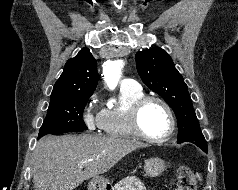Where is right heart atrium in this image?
I'll return each mask as SVG.
<instances>
[{
    "label": "right heart atrium",
    "instance_id": "obj_1",
    "mask_svg": "<svg viewBox=\"0 0 238 190\" xmlns=\"http://www.w3.org/2000/svg\"><path fill=\"white\" fill-rule=\"evenodd\" d=\"M103 112L98 106V95L92 94L85 104L83 110V120L87 128L91 131L102 129Z\"/></svg>",
    "mask_w": 238,
    "mask_h": 190
}]
</instances>
